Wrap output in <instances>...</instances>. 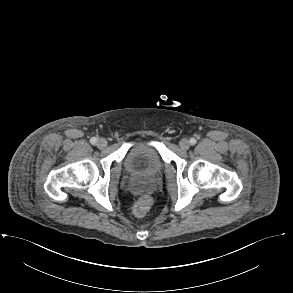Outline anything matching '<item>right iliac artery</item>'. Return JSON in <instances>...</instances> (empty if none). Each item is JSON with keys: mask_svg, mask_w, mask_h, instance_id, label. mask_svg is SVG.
<instances>
[{"mask_svg": "<svg viewBox=\"0 0 293 293\" xmlns=\"http://www.w3.org/2000/svg\"><path fill=\"white\" fill-rule=\"evenodd\" d=\"M90 143H91V144H96V143H97V138H96V137H92V138L90 139Z\"/></svg>", "mask_w": 293, "mask_h": 293, "instance_id": "right-iliac-artery-1", "label": "right iliac artery"}]
</instances>
